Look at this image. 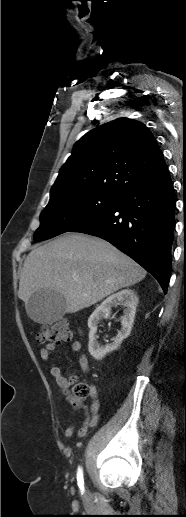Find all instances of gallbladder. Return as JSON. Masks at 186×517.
Listing matches in <instances>:
<instances>
[{
    "label": "gallbladder",
    "instance_id": "bac80fb5",
    "mask_svg": "<svg viewBox=\"0 0 186 517\" xmlns=\"http://www.w3.org/2000/svg\"><path fill=\"white\" fill-rule=\"evenodd\" d=\"M25 307L35 322L51 324L65 315L66 300L57 291L41 289L33 293Z\"/></svg>",
    "mask_w": 186,
    "mask_h": 517
}]
</instances>
